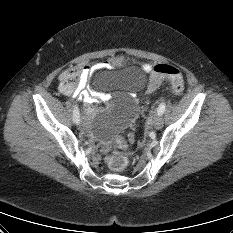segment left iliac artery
<instances>
[{
  "label": "left iliac artery",
  "instance_id": "1",
  "mask_svg": "<svg viewBox=\"0 0 233 233\" xmlns=\"http://www.w3.org/2000/svg\"><path fill=\"white\" fill-rule=\"evenodd\" d=\"M165 107H166L165 102L160 103V105H159V107L157 109V112H158L159 115H162L164 113Z\"/></svg>",
  "mask_w": 233,
  "mask_h": 233
}]
</instances>
